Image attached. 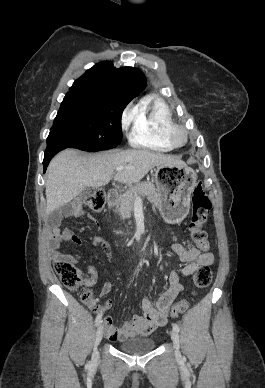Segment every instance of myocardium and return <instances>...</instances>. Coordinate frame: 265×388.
Wrapping results in <instances>:
<instances>
[{
    "instance_id": "myocardium-1",
    "label": "myocardium",
    "mask_w": 265,
    "mask_h": 388,
    "mask_svg": "<svg viewBox=\"0 0 265 388\" xmlns=\"http://www.w3.org/2000/svg\"><path fill=\"white\" fill-rule=\"evenodd\" d=\"M185 135V130L176 124H172L169 129V136L174 145H181L183 144V138Z\"/></svg>"
}]
</instances>
